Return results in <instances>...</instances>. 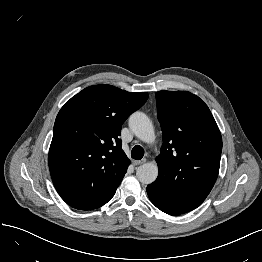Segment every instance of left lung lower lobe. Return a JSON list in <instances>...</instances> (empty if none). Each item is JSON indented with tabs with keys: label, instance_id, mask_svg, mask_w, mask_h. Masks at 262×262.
I'll return each instance as SVG.
<instances>
[{
	"label": "left lung lower lobe",
	"instance_id": "0a47b994",
	"mask_svg": "<svg viewBox=\"0 0 262 262\" xmlns=\"http://www.w3.org/2000/svg\"><path fill=\"white\" fill-rule=\"evenodd\" d=\"M149 198L151 200V202L158 208L160 209L161 211L169 214V215H173V216H176V215H180L181 213H178L176 211H173L169 208H167L161 201H159L158 199L154 198L153 196L149 195Z\"/></svg>",
	"mask_w": 262,
	"mask_h": 262
}]
</instances>
